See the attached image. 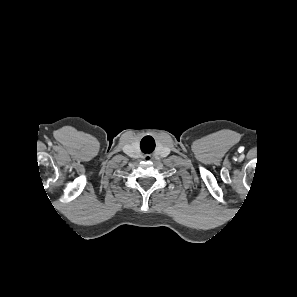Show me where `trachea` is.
Instances as JSON below:
<instances>
[{"mask_svg": "<svg viewBox=\"0 0 297 297\" xmlns=\"http://www.w3.org/2000/svg\"><path fill=\"white\" fill-rule=\"evenodd\" d=\"M150 138H151V137H145V138L142 140V146H143V148H144L145 146H147V143H145V142H147Z\"/></svg>", "mask_w": 297, "mask_h": 297, "instance_id": "trachea-1", "label": "trachea"}]
</instances>
